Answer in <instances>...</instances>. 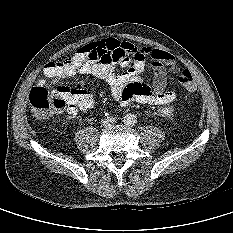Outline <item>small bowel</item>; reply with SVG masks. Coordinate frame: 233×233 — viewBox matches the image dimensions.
<instances>
[{
    "label": "small bowel",
    "mask_w": 233,
    "mask_h": 233,
    "mask_svg": "<svg viewBox=\"0 0 233 233\" xmlns=\"http://www.w3.org/2000/svg\"><path fill=\"white\" fill-rule=\"evenodd\" d=\"M146 59L154 70L152 87L143 83ZM175 58L168 52L150 47L139 48L113 38L80 48L69 63L50 62L39 86L52 89L66 101L69 115L87 113L94 105L90 91L69 89L61 82L77 75H91L104 80L115 100L122 106L135 101L145 105H165L175 100L168 89V71L175 68Z\"/></svg>",
    "instance_id": "c3829d8e"
}]
</instances>
